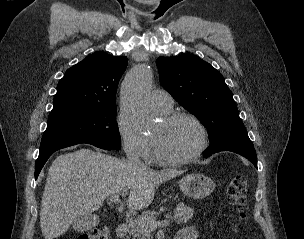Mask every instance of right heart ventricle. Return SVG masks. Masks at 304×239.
I'll return each mask as SVG.
<instances>
[{
	"label": "right heart ventricle",
	"mask_w": 304,
	"mask_h": 239,
	"mask_svg": "<svg viewBox=\"0 0 304 239\" xmlns=\"http://www.w3.org/2000/svg\"><path fill=\"white\" fill-rule=\"evenodd\" d=\"M161 114H168L171 112V109L170 110H158Z\"/></svg>",
	"instance_id": "e07e8e85"
}]
</instances>
